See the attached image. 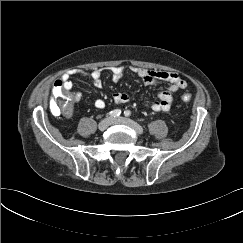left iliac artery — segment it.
<instances>
[{"label": "left iliac artery", "instance_id": "left-iliac-artery-1", "mask_svg": "<svg viewBox=\"0 0 243 243\" xmlns=\"http://www.w3.org/2000/svg\"><path fill=\"white\" fill-rule=\"evenodd\" d=\"M124 115L126 117H129L131 115V112L129 110L124 111Z\"/></svg>", "mask_w": 243, "mask_h": 243}]
</instances>
